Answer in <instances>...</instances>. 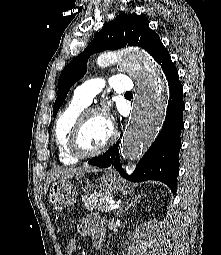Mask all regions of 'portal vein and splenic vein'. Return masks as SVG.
Returning <instances> with one entry per match:
<instances>
[{
    "instance_id": "1",
    "label": "portal vein and splenic vein",
    "mask_w": 221,
    "mask_h": 255,
    "mask_svg": "<svg viewBox=\"0 0 221 255\" xmlns=\"http://www.w3.org/2000/svg\"><path fill=\"white\" fill-rule=\"evenodd\" d=\"M106 202L109 204L108 209L113 210L115 208H118L119 204H115L113 201H110L109 199L106 200Z\"/></svg>"
}]
</instances>
